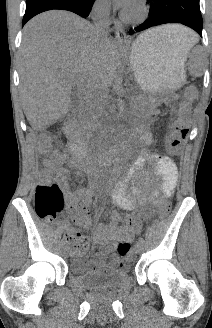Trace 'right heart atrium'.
Returning a JSON list of instances; mask_svg holds the SVG:
<instances>
[{
    "mask_svg": "<svg viewBox=\"0 0 212 328\" xmlns=\"http://www.w3.org/2000/svg\"><path fill=\"white\" fill-rule=\"evenodd\" d=\"M96 6L100 11H106L108 9V4L106 0H97Z\"/></svg>",
    "mask_w": 212,
    "mask_h": 328,
    "instance_id": "d8ad5b80",
    "label": "right heart atrium"
}]
</instances>
